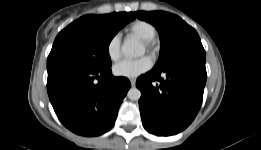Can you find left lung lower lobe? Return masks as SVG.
Masks as SVG:
<instances>
[{"instance_id": "1", "label": "left lung lower lobe", "mask_w": 261, "mask_h": 150, "mask_svg": "<svg viewBox=\"0 0 261 150\" xmlns=\"http://www.w3.org/2000/svg\"><path fill=\"white\" fill-rule=\"evenodd\" d=\"M205 61L202 44H191L137 79L142 124L148 132L174 135L194 120L207 79ZM162 74L166 76L164 79Z\"/></svg>"}]
</instances>
